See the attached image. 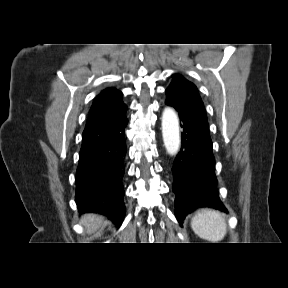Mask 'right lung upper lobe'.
Listing matches in <instances>:
<instances>
[{
    "mask_svg": "<svg viewBox=\"0 0 288 288\" xmlns=\"http://www.w3.org/2000/svg\"><path fill=\"white\" fill-rule=\"evenodd\" d=\"M121 97V91L107 88L95 98L83 132L81 148L113 138L119 129L128 122L127 106L122 102Z\"/></svg>",
    "mask_w": 288,
    "mask_h": 288,
    "instance_id": "obj_1",
    "label": "right lung upper lobe"
}]
</instances>
